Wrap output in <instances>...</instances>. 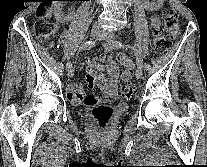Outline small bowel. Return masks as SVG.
<instances>
[{"mask_svg":"<svg viewBox=\"0 0 207 167\" xmlns=\"http://www.w3.org/2000/svg\"><path fill=\"white\" fill-rule=\"evenodd\" d=\"M154 1L161 2V0ZM151 25L154 29H159L160 18L157 15L153 16ZM60 40L63 41L64 38L62 37ZM104 60L106 61L105 67L109 75L108 78L103 75L102 68L98 65L96 59H87L86 77L91 89L94 90L93 95L87 96L83 86L80 84L67 85V98L73 105H91L96 103L101 96L115 95L119 73L118 66L111 56H105ZM120 62L124 66L123 78L129 79L133 71L132 61L128 57L121 55ZM97 89H100V92H97Z\"/></svg>","mask_w":207,"mask_h":167,"instance_id":"small-bowel-1","label":"small bowel"}]
</instances>
